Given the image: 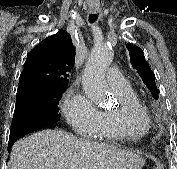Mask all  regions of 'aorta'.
I'll list each match as a JSON object with an SVG mask.
<instances>
[{
	"mask_svg": "<svg viewBox=\"0 0 177 169\" xmlns=\"http://www.w3.org/2000/svg\"><path fill=\"white\" fill-rule=\"evenodd\" d=\"M113 60V51L107 45L95 46L83 72V90L86 96L98 105L110 102L105 80V72Z\"/></svg>",
	"mask_w": 177,
	"mask_h": 169,
	"instance_id": "obj_1",
	"label": "aorta"
}]
</instances>
